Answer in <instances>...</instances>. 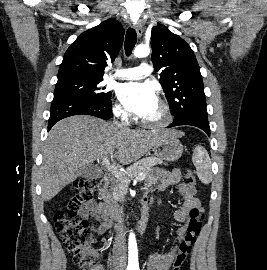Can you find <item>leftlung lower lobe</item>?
<instances>
[{"mask_svg": "<svg viewBox=\"0 0 267 270\" xmlns=\"http://www.w3.org/2000/svg\"><path fill=\"white\" fill-rule=\"evenodd\" d=\"M180 125H190L195 126L206 132L210 136V126L208 118H203L199 116H189L180 120H174L168 127L180 126Z\"/></svg>", "mask_w": 267, "mask_h": 270, "instance_id": "obj_1", "label": "left lung lower lobe"}]
</instances>
